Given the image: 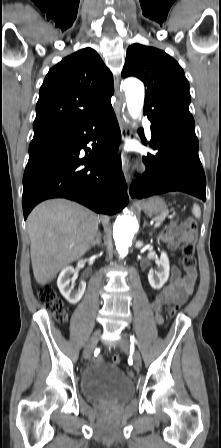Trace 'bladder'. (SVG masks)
<instances>
[{"label":"bladder","instance_id":"obj_1","mask_svg":"<svg viewBox=\"0 0 221 448\" xmlns=\"http://www.w3.org/2000/svg\"><path fill=\"white\" fill-rule=\"evenodd\" d=\"M83 396L94 402L123 403L134 395L133 380L118 366L102 363L85 371L80 379Z\"/></svg>","mask_w":221,"mask_h":448}]
</instances>
